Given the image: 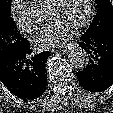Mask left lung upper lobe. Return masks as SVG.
Listing matches in <instances>:
<instances>
[{
  "mask_svg": "<svg viewBox=\"0 0 113 113\" xmlns=\"http://www.w3.org/2000/svg\"><path fill=\"white\" fill-rule=\"evenodd\" d=\"M97 13L85 33H98L113 29V5L110 0H96Z\"/></svg>",
  "mask_w": 113,
  "mask_h": 113,
  "instance_id": "obj_1",
  "label": "left lung upper lobe"
}]
</instances>
